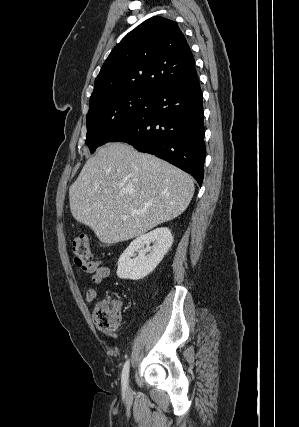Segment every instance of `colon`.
Listing matches in <instances>:
<instances>
[{
	"instance_id": "1",
	"label": "colon",
	"mask_w": 299,
	"mask_h": 427,
	"mask_svg": "<svg viewBox=\"0 0 299 427\" xmlns=\"http://www.w3.org/2000/svg\"><path fill=\"white\" fill-rule=\"evenodd\" d=\"M72 250L77 264L83 265L92 260L91 243L86 234L81 233L75 237ZM93 320L99 331L105 334L114 333L121 321L119 304L112 298L98 301L93 307Z\"/></svg>"
}]
</instances>
